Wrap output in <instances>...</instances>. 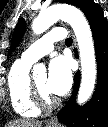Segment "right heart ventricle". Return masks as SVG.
Masks as SVG:
<instances>
[{"instance_id": "obj_1", "label": "right heart ventricle", "mask_w": 108, "mask_h": 127, "mask_svg": "<svg viewBox=\"0 0 108 127\" xmlns=\"http://www.w3.org/2000/svg\"><path fill=\"white\" fill-rule=\"evenodd\" d=\"M32 63L22 58L15 61L8 73V93L13 110L22 117H37L41 110L34 103L29 71Z\"/></svg>"}]
</instances>
